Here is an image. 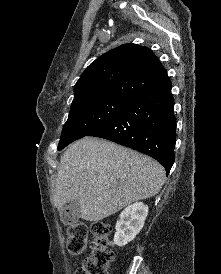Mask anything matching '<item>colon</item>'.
<instances>
[{"mask_svg":"<svg viewBox=\"0 0 221 274\" xmlns=\"http://www.w3.org/2000/svg\"><path fill=\"white\" fill-rule=\"evenodd\" d=\"M92 242L90 254L75 274H108V267L113 261L114 253L110 249L111 227L96 221L91 225ZM89 228L85 222H72L67 225V250L73 255L82 254L88 242Z\"/></svg>","mask_w":221,"mask_h":274,"instance_id":"obj_1","label":"colon"}]
</instances>
